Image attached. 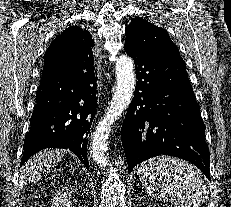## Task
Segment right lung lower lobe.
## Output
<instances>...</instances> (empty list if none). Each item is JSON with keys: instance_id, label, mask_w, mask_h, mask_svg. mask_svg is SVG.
Segmentation results:
<instances>
[{"instance_id": "obj_1", "label": "right lung lower lobe", "mask_w": 231, "mask_h": 207, "mask_svg": "<svg viewBox=\"0 0 231 207\" xmlns=\"http://www.w3.org/2000/svg\"><path fill=\"white\" fill-rule=\"evenodd\" d=\"M77 65L84 68H43L20 166L42 149L65 148L89 169L87 137L98 106V78L93 57Z\"/></svg>"}]
</instances>
